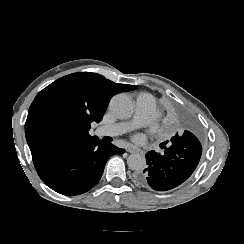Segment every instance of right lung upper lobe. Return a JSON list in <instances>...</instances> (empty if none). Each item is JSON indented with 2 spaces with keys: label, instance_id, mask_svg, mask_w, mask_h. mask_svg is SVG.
Instances as JSON below:
<instances>
[{
  "label": "right lung upper lobe",
  "instance_id": "obj_1",
  "mask_svg": "<svg viewBox=\"0 0 244 244\" xmlns=\"http://www.w3.org/2000/svg\"><path fill=\"white\" fill-rule=\"evenodd\" d=\"M136 85L114 83L96 73L79 72L64 76L42 91L32 102L25 123L30 149L54 143H75L92 138V122H100L110 99ZM59 116L63 126L55 131L43 129L45 118Z\"/></svg>",
  "mask_w": 244,
  "mask_h": 244
}]
</instances>
